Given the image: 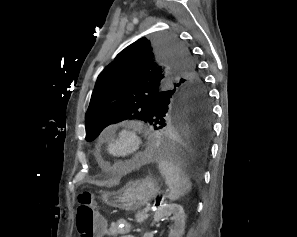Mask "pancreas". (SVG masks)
Instances as JSON below:
<instances>
[{
	"mask_svg": "<svg viewBox=\"0 0 297 237\" xmlns=\"http://www.w3.org/2000/svg\"><path fill=\"white\" fill-rule=\"evenodd\" d=\"M149 215L145 210L138 211V213L135 215L136 222L141 224L146 219H148Z\"/></svg>",
	"mask_w": 297,
	"mask_h": 237,
	"instance_id": "1",
	"label": "pancreas"
}]
</instances>
